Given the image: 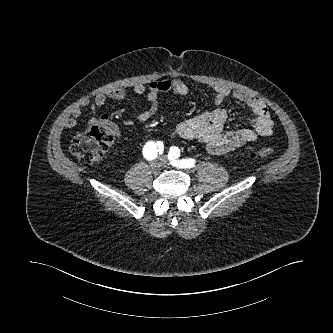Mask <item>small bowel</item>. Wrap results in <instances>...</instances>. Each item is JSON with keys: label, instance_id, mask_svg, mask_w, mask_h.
Masks as SVG:
<instances>
[{"label": "small bowel", "instance_id": "small-bowel-1", "mask_svg": "<svg viewBox=\"0 0 333 333\" xmlns=\"http://www.w3.org/2000/svg\"><path fill=\"white\" fill-rule=\"evenodd\" d=\"M212 88L214 90L215 108L179 123L175 127L174 136H179L187 140H197L205 145L210 154L223 155L246 143L253 142L259 137L272 135L274 123L270 112L257 96L243 91H231L228 87L222 85H215ZM133 91L136 95H147L149 105L138 115L139 121L145 122L157 112L160 93L172 92L179 96H185L189 93V88L181 79L163 78L150 81L146 86L137 84L133 87ZM230 95L244 103L251 110L253 113L251 121L252 128L224 130L227 114L225 110L220 108V105ZM125 98V90L113 88L105 93L96 95L92 100H84L79 106L73 109L71 117H68L64 121V126L66 128L75 127L77 118L81 116L84 107L89 106L91 109H96L103 106L108 99L121 101ZM88 124L104 126L118 138L123 137L117 125L107 114L102 115L98 119L90 118Z\"/></svg>", "mask_w": 333, "mask_h": 333}]
</instances>
